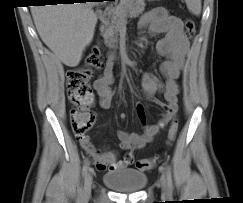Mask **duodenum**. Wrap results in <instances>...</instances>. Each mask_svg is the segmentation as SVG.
<instances>
[{
    "label": "duodenum",
    "mask_w": 243,
    "mask_h": 203,
    "mask_svg": "<svg viewBox=\"0 0 243 203\" xmlns=\"http://www.w3.org/2000/svg\"><path fill=\"white\" fill-rule=\"evenodd\" d=\"M108 13H109V10H108V11H105V12L102 14V16H101V18H100L102 22H104V21L107 20V18H108Z\"/></svg>",
    "instance_id": "obj_1"
}]
</instances>
